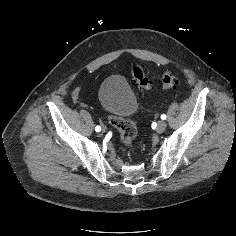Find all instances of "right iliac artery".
I'll list each match as a JSON object with an SVG mask.
<instances>
[{"mask_svg":"<svg viewBox=\"0 0 236 236\" xmlns=\"http://www.w3.org/2000/svg\"><path fill=\"white\" fill-rule=\"evenodd\" d=\"M100 128H101L100 126H96V127H95V131H96V132H100V131H101Z\"/></svg>","mask_w":236,"mask_h":236,"instance_id":"82829eb1","label":"right iliac artery"}]
</instances>
